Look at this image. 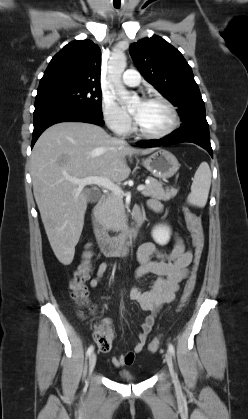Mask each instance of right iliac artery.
Segmentation results:
<instances>
[{
  "mask_svg": "<svg viewBox=\"0 0 248 419\" xmlns=\"http://www.w3.org/2000/svg\"><path fill=\"white\" fill-rule=\"evenodd\" d=\"M93 346H90L89 348H88V350H87V356H89V355H91V353L93 352Z\"/></svg>",
  "mask_w": 248,
  "mask_h": 419,
  "instance_id": "right-iliac-artery-1",
  "label": "right iliac artery"
}]
</instances>
